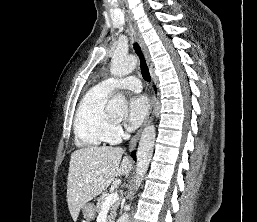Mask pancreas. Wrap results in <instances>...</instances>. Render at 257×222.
<instances>
[{
  "mask_svg": "<svg viewBox=\"0 0 257 222\" xmlns=\"http://www.w3.org/2000/svg\"><path fill=\"white\" fill-rule=\"evenodd\" d=\"M108 195H109L108 192H104V193H102V195L97 199V206L95 207V209H96V211H97L98 213H100V212L102 211V209H103V208H102V205H103V203H104L105 198H106ZM118 207H119V204H118V203L113 204V205H111V206L109 207L110 215H109L108 218H107V219H108V222H114L115 217H116V215H117L116 211H117Z\"/></svg>",
  "mask_w": 257,
  "mask_h": 222,
  "instance_id": "pancreas-1",
  "label": "pancreas"
}]
</instances>
